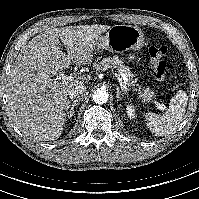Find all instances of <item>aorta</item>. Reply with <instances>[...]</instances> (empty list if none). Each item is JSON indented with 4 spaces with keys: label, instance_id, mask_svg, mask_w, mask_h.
I'll return each mask as SVG.
<instances>
[{
    "label": "aorta",
    "instance_id": "obj_1",
    "mask_svg": "<svg viewBox=\"0 0 199 199\" xmlns=\"http://www.w3.org/2000/svg\"><path fill=\"white\" fill-rule=\"evenodd\" d=\"M93 100L96 104H105L108 101L109 94L105 89L98 88L92 95Z\"/></svg>",
    "mask_w": 199,
    "mask_h": 199
}]
</instances>
